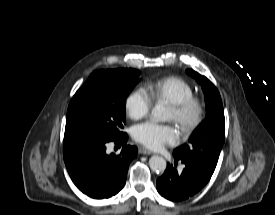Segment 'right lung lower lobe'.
<instances>
[{
  "mask_svg": "<svg viewBox=\"0 0 275 215\" xmlns=\"http://www.w3.org/2000/svg\"><path fill=\"white\" fill-rule=\"evenodd\" d=\"M124 133L114 140L75 139L64 141V162L68 173L84 194L94 199L109 198L125 185L130 162L136 158L137 147L126 145ZM123 145L119 155L107 154L106 143Z\"/></svg>",
  "mask_w": 275,
  "mask_h": 215,
  "instance_id": "1",
  "label": "right lung lower lobe"
}]
</instances>
